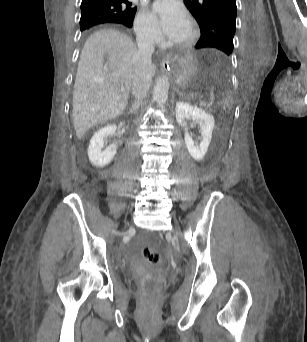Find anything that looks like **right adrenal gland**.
Wrapping results in <instances>:
<instances>
[{
  "label": "right adrenal gland",
  "instance_id": "right-adrenal-gland-1",
  "mask_svg": "<svg viewBox=\"0 0 307 342\" xmlns=\"http://www.w3.org/2000/svg\"><path fill=\"white\" fill-rule=\"evenodd\" d=\"M136 110V106H132L131 110H130V114H133V112H135Z\"/></svg>",
  "mask_w": 307,
  "mask_h": 342
}]
</instances>
